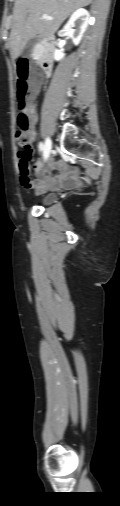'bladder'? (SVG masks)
<instances>
[{
	"label": "bladder",
	"mask_w": 120,
	"mask_h": 506,
	"mask_svg": "<svg viewBox=\"0 0 120 506\" xmlns=\"http://www.w3.org/2000/svg\"><path fill=\"white\" fill-rule=\"evenodd\" d=\"M55 199H56V194L55 193H47V194H45V195H43L41 197L40 202L42 204L46 205V204H50Z\"/></svg>",
	"instance_id": "31cf9c89"
}]
</instances>
